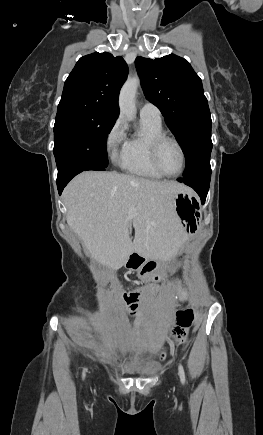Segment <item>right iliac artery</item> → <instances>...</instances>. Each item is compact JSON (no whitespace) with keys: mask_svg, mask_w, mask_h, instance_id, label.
<instances>
[{"mask_svg":"<svg viewBox=\"0 0 263 435\" xmlns=\"http://www.w3.org/2000/svg\"><path fill=\"white\" fill-rule=\"evenodd\" d=\"M85 372H86V369H84V372H83V378L85 377Z\"/></svg>","mask_w":263,"mask_h":435,"instance_id":"82829eb1","label":"right iliac artery"}]
</instances>
